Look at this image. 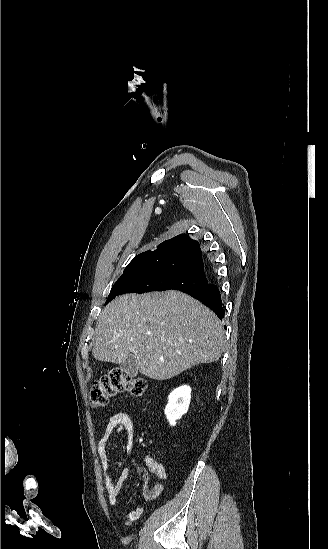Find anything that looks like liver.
Instances as JSON below:
<instances>
[{"instance_id":"6515ba94","label":"liver","mask_w":328,"mask_h":549,"mask_svg":"<svg viewBox=\"0 0 328 549\" xmlns=\"http://www.w3.org/2000/svg\"><path fill=\"white\" fill-rule=\"evenodd\" d=\"M93 355L123 363L133 353L141 375L165 381L221 357L225 331L208 307L179 291L121 295L101 311Z\"/></svg>"}]
</instances>
